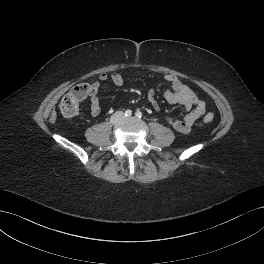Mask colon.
<instances>
[{
  "label": "colon",
  "mask_w": 264,
  "mask_h": 264,
  "mask_svg": "<svg viewBox=\"0 0 264 264\" xmlns=\"http://www.w3.org/2000/svg\"><path fill=\"white\" fill-rule=\"evenodd\" d=\"M91 86L81 84L66 94L60 102L61 113L66 117L75 116L78 113L80 103L89 96ZM214 117L211 113L205 115L204 122L211 123Z\"/></svg>",
  "instance_id": "5ec220e1"
}]
</instances>
